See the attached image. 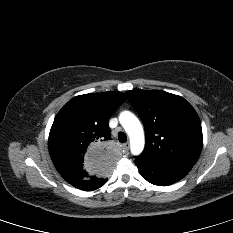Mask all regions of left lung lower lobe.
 Masks as SVG:
<instances>
[{
    "label": "left lung lower lobe",
    "mask_w": 233,
    "mask_h": 233,
    "mask_svg": "<svg viewBox=\"0 0 233 233\" xmlns=\"http://www.w3.org/2000/svg\"><path fill=\"white\" fill-rule=\"evenodd\" d=\"M135 164L148 182L158 186H168L181 180L192 168L186 164L152 163L138 157L135 159Z\"/></svg>",
    "instance_id": "0a47b994"
}]
</instances>
